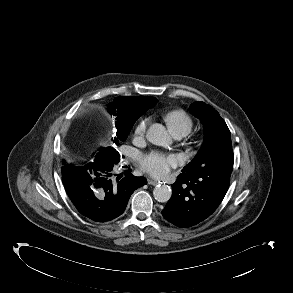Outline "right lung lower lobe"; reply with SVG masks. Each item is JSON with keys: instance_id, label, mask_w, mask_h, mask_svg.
<instances>
[{"instance_id": "obj_1", "label": "right lung lower lobe", "mask_w": 293, "mask_h": 293, "mask_svg": "<svg viewBox=\"0 0 293 293\" xmlns=\"http://www.w3.org/2000/svg\"><path fill=\"white\" fill-rule=\"evenodd\" d=\"M105 151L84 167L69 165L62 170L65 190L77 210L96 222H106L120 216L136 188L147 184L144 177L127 174L124 178L113 173L112 161Z\"/></svg>"}]
</instances>
